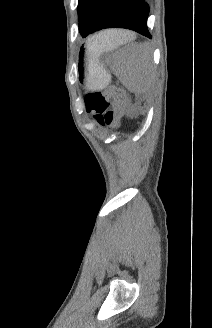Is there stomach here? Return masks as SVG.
I'll list each match as a JSON object with an SVG mask.
<instances>
[{
	"label": "stomach",
	"instance_id": "1",
	"mask_svg": "<svg viewBox=\"0 0 212 328\" xmlns=\"http://www.w3.org/2000/svg\"><path fill=\"white\" fill-rule=\"evenodd\" d=\"M84 73L85 84L88 89H103L110 81V75L104 66L99 63L98 57L88 53V51ZM80 74H82L81 66Z\"/></svg>",
	"mask_w": 212,
	"mask_h": 328
}]
</instances>
